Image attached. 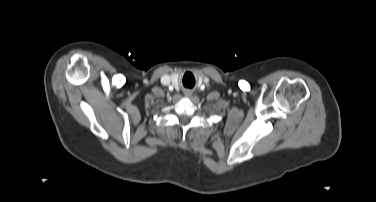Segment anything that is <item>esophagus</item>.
<instances>
[{
	"label": "esophagus",
	"instance_id": "34e87169",
	"mask_svg": "<svg viewBox=\"0 0 376 202\" xmlns=\"http://www.w3.org/2000/svg\"><path fill=\"white\" fill-rule=\"evenodd\" d=\"M184 94L186 97H190L192 95V92L190 90H187Z\"/></svg>",
	"mask_w": 376,
	"mask_h": 202
}]
</instances>
